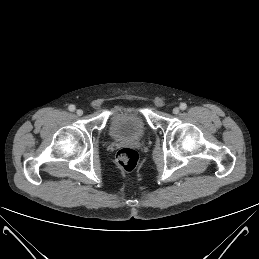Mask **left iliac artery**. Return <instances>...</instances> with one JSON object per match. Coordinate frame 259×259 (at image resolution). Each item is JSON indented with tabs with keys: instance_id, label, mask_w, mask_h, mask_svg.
<instances>
[{
	"instance_id": "1",
	"label": "left iliac artery",
	"mask_w": 259,
	"mask_h": 259,
	"mask_svg": "<svg viewBox=\"0 0 259 259\" xmlns=\"http://www.w3.org/2000/svg\"><path fill=\"white\" fill-rule=\"evenodd\" d=\"M186 108H187L186 103H181V104H180V109H181V110H185Z\"/></svg>"
}]
</instances>
